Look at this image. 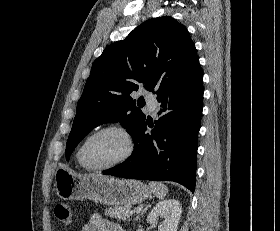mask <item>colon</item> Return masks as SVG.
<instances>
[{"label": "colon", "instance_id": "5ec220e1", "mask_svg": "<svg viewBox=\"0 0 280 231\" xmlns=\"http://www.w3.org/2000/svg\"><path fill=\"white\" fill-rule=\"evenodd\" d=\"M54 213H56L57 219L61 220V225H75V220H71V211L66 207L65 203L54 208Z\"/></svg>", "mask_w": 280, "mask_h": 231}]
</instances>
